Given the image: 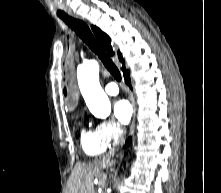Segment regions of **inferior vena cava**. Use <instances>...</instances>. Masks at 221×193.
Wrapping results in <instances>:
<instances>
[{
    "mask_svg": "<svg viewBox=\"0 0 221 193\" xmlns=\"http://www.w3.org/2000/svg\"><path fill=\"white\" fill-rule=\"evenodd\" d=\"M124 134H125L124 130L120 129L119 136H118V141H122Z\"/></svg>",
    "mask_w": 221,
    "mask_h": 193,
    "instance_id": "1",
    "label": "inferior vena cava"
}]
</instances>
